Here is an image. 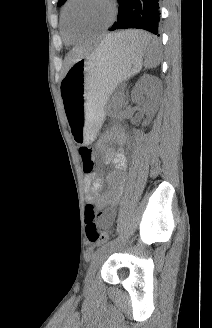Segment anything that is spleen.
I'll list each match as a JSON object with an SVG mask.
<instances>
[{"label":"spleen","mask_w":212,"mask_h":328,"mask_svg":"<svg viewBox=\"0 0 212 328\" xmlns=\"http://www.w3.org/2000/svg\"><path fill=\"white\" fill-rule=\"evenodd\" d=\"M119 40L117 43L126 48L143 50L145 52L146 68H154L159 64L160 48L158 44L153 46L147 45L152 36L141 30H132L114 34Z\"/></svg>","instance_id":"spleen-1"}]
</instances>
